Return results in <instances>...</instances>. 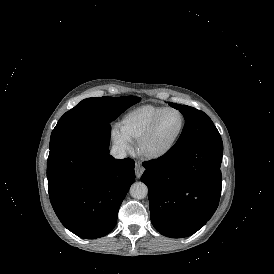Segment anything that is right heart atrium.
Wrapping results in <instances>:
<instances>
[{
    "label": "right heart atrium",
    "mask_w": 274,
    "mask_h": 274,
    "mask_svg": "<svg viewBox=\"0 0 274 274\" xmlns=\"http://www.w3.org/2000/svg\"><path fill=\"white\" fill-rule=\"evenodd\" d=\"M112 140L123 151H129L132 147L130 142L125 137H123L120 131L114 130L112 132Z\"/></svg>",
    "instance_id": "right-heart-atrium-1"
}]
</instances>
